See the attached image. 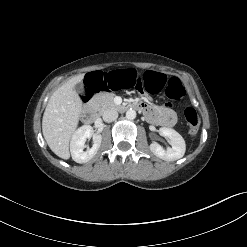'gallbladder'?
<instances>
[{
  "mask_svg": "<svg viewBox=\"0 0 247 247\" xmlns=\"http://www.w3.org/2000/svg\"><path fill=\"white\" fill-rule=\"evenodd\" d=\"M75 90L81 94V95H84L85 94V87L83 85V83H78L76 86H75Z\"/></svg>",
  "mask_w": 247,
  "mask_h": 247,
  "instance_id": "bac80fb5",
  "label": "gallbladder"
}]
</instances>
